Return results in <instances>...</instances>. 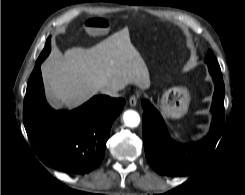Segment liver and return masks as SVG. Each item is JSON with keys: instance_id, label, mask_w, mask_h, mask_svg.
<instances>
[{"instance_id": "6515ba94", "label": "liver", "mask_w": 245, "mask_h": 195, "mask_svg": "<svg viewBox=\"0 0 245 195\" xmlns=\"http://www.w3.org/2000/svg\"><path fill=\"white\" fill-rule=\"evenodd\" d=\"M42 75L50 99L68 108L79 106L103 88L150 87L148 68L131 43L128 28L89 49L55 51L42 64Z\"/></svg>"}]
</instances>
